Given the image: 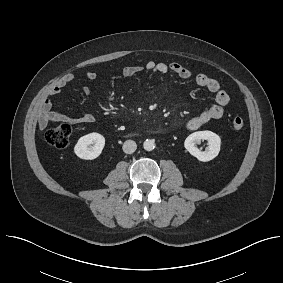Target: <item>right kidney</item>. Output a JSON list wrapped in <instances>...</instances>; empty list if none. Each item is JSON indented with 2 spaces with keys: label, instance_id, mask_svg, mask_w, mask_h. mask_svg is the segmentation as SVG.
Returning a JSON list of instances; mask_svg holds the SVG:
<instances>
[{
  "label": "right kidney",
  "instance_id": "obj_1",
  "mask_svg": "<svg viewBox=\"0 0 283 283\" xmlns=\"http://www.w3.org/2000/svg\"><path fill=\"white\" fill-rule=\"evenodd\" d=\"M104 146V136L99 133L93 132L80 137L74 147V152L81 159L93 160L101 154Z\"/></svg>",
  "mask_w": 283,
  "mask_h": 283
}]
</instances>
